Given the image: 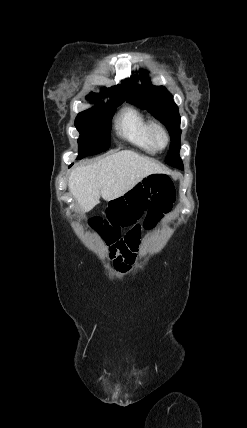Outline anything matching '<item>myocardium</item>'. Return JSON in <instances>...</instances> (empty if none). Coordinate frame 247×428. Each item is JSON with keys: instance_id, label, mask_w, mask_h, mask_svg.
<instances>
[{"instance_id": "obj_1", "label": "myocardium", "mask_w": 247, "mask_h": 428, "mask_svg": "<svg viewBox=\"0 0 247 428\" xmlns=\"http://www.w3.org/2000/svg\"><path fill=\"white\" fill-rule=\"evenodd\" d=\"M149 136L157 149H164L170 142V136L165 126L160 122H151L149 124ZM160 137L163 141H160Z\"/></svg>"}]
</instances>
